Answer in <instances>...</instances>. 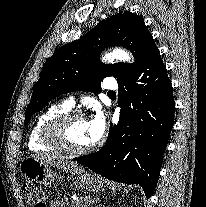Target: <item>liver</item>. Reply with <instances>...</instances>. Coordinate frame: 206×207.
Masks as SVG:
<instances>
[{
    "label": "liver",
    "instance_id": "1",
    "mask_svg": "<svg viewBox=\"0 0 206 207\" xmlns=\"http://www.w3.org/2000/svg\"><path fill=\"white\" fill-rule=\"evenodd\" d=\"M33 158L41 162L48 163L54 167L56 166L57 168L65 172H70L71 174H81L84 172L83 168L79 166L77 163L63 160L61 157L56 155L44 154L34 156Z\"/></svg>",
    "mask_w": 206,
    "mask_h": 207
}]
</instances>
